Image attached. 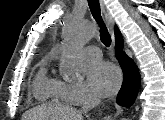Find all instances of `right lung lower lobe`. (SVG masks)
Wrapping results in <instances>:
<instances>
[{
  "instance_id": "98d812e1",
  "label": "right lung lower lobe",
  "mask_w": 165,
  "mask_h": 120,
  "mask_svg": "<svg viewBox=\"0 0 165 120\" xmlns=\"http://www.w3.org/2000/svg\"><path fill=\"white\" fill-rule=\"evenodd\" d=\"M123 39H116V57L122 68L124 80L117 96V103L130 107L135 101L140 88V74L137 66L123 51Z\"/></svg>"
}]
</instances>
